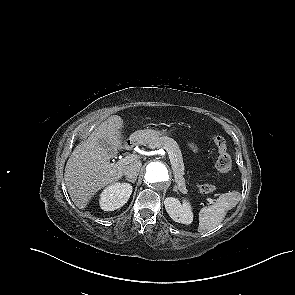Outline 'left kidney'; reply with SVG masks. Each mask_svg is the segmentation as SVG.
<instances>
[{
  "instance_id": "left-kidney-1",
  "label": "left kidney",
  "mask_w": 295,
  "mask_h": 295,
  "mask_svg": "<svg viewBox=\"0 0 295 295\" xmlns=\"http://www.w3.org/2000/svg\"><path fill=\"white\" fill-rule=\"evenodd\" d=\"M165 209L169 216L175 221L182 224H191L193 221V213L191 206L187 202L180 203L174 197H168L164 201Z\"/></svg>"
}]
</instances>
